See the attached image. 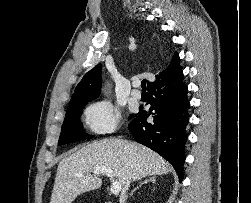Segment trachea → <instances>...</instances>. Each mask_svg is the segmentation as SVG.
Listing matches in <instances>:
<instances>
[{"mask_svg":"<svg viewBox=\"0 0 251 203\" xmlns=\"http://www.w3.org/2000/svg\"><path fill=\"white\" fill-rule=\"evenodd\" d=\"M141 88H142V90H146V79L142 80Z\"/></svg>","mask_w":251,"mask_h":203,"instance_id":"trachea-1","label":"trachea"}]
</instances>
